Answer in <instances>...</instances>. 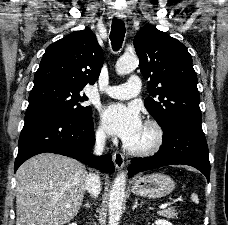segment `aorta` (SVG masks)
Masks as SVG:
<instances>
[{
	"mask_svg": "<svg viewBox=\"0 0 228 225\" xmlns=\"http://www.w3.org/2000/svg\"><path fill=\"white\" fill-rule=\"evenodd\" d=\"M139 64V58L137 54H122L118 58L115 68L117 74H129L132 70H135ZM126 187V175L125 173H119L116 179L113 181L109 205H108V223L109 225H119L121 209L123 207V201L125 197Z\"/></svg>",
	"mask_w": 228,
	"mask_h": 225,
	"instance_id": "aorta-1",
	"label": "aorta"
}]
</instances>
